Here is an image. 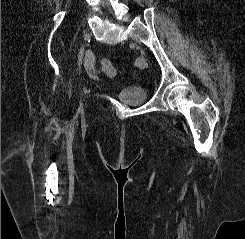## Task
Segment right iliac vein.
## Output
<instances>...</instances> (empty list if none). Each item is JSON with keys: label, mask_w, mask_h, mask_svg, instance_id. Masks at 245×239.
<instances>
[{"label": "right iliac vein", "mask_w": 245, "mask_h": 239, "mask_svg": "<svg viewBox=\"0 0 245 239\" xmlns=\"http://www.w3.org/2000/svg\"><path fill=\"white\" fill-rule=\"evenodd\" d=\"M86 37H85V39H86ZM83 57H84V45H82V47L80 48V52H79V68H81ZM81 106H82V103L80 102L79 108H81Z\"/></svg>", "instance_id": "right-iliac-vein-1"}]
</instances>
